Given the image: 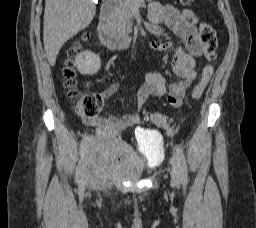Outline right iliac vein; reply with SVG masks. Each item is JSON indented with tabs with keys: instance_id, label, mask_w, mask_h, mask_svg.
Returning <instances> with one entry per match:
<instances>
[{
	"instance_id": "1",
	"label": "right iliac vein",
	"mask_w": 256,
	"mask_h": 228,
	"mask_svg": "<svg viewBox=\"0 0 256 228\" xmlns=\"http://www.w3.org/2000/svg\"><path fill=\"white\" fill-rule=\"evenodd\" d=\"M83 157L85 158L84 160V169L82 171V180L83 182H86L87 180H89V172L87 167L91 166V160L92 157L90 156V151L86 150L85 153L83 154Z\"/></svg>"
}]
</instances>
